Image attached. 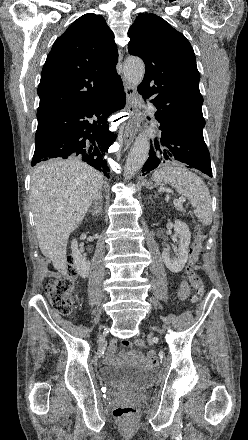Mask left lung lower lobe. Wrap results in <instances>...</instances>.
I'll use <instances>...</instances> for the list:
<instances>
[{"label":"left lung lower lobe","mask_w":248,"mask_h":440,"mask_svg":"<svg viewBox=\"0 0 248 440\" xmlns=\"http://www.w3.org/2000/svg\"><path fill=\"white\" fill-rule=\"evenodd\" d=\"M162 131L161 144L164 147L160 154L150 148L149 158L143 166L146 175L158 165L165 162H182L212 177L210 154L202 135H197L181 125L162 119L155 114ZM160 150L159 143L155 144Z\"/></svg>","instance_id":"0a47b994"}]
</instances>
